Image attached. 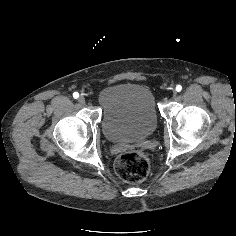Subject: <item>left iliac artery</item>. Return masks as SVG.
Returning a JSON list of instances; mask_svg holds the SVG:
<instances>
[{"label":"left iliac artery","mask_w":236,"mask_h":236,"mask_svg":"<svg viewBox=\"0 0 236 236\" xmlns=\"http://www.w3.org/2000/svg\"><path fill=\"white\" fill-rule=\"evenodd\" d=\"M181 90H182V86H181V85H177V86H176V91H177V92H180Z\"/></svg>","instance_id":"left-iliac-artery-1"}]
</instances>
